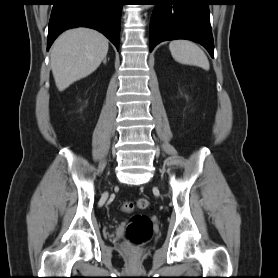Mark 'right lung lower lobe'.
Masks as SVG:
<instances>
[{"mask_svg": "<svg viewBox=\"0 0 278 278\" xmlns=\"http://www.w3.org/2000/svg\"><path fill=\"white\" fill-rule=\"evenodd\" d=\"M47 50L63 31L85 26L103 33L119 50L123 0H53Z\"/></svg>", "mask_w": 278, "mask_h": 278, "instance_id": "right-lung-lower-lobe-1", "label": "right lung lower lobe"}]
</instances>
